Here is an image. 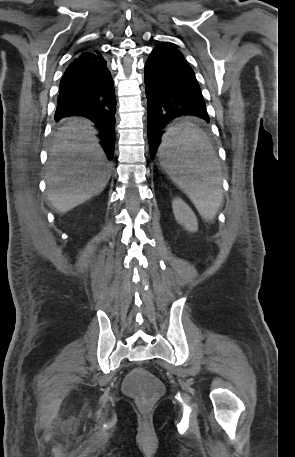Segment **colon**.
I'll use <instances>...</instances> for the list:
<instances>
[{"label":"colon","instance_id":"1","mask_svg":"<svg viewBox=\"0 0 295 457\" xmlns=\"http://www.w3.org/2000/svg\"><path fill=\"white\" fill-rule=\"evenodd\" d=\"M157 379V374H149L148 369H133L123 387L142 405H148L161 393L162 387Z\"/></svg>","mask_w":295,"mask_h":457}]
</instances>
